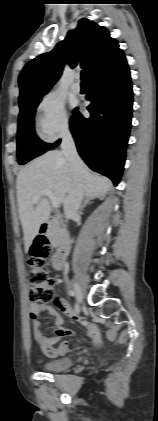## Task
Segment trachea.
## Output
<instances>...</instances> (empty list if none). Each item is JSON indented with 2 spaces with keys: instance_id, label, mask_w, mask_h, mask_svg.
Returning <instances> with one entry per match:
<instances>
[{
  "instance_id": "1",
  "label": "trachea",
  "mask_w": 158,
  "mask_h": 421,
  "mask_svg": "<svg viewBox=\"0 0 158 421\" xmlns=\"http://www.w3.org/2000/svg\"><path fill=\"white\" fill-rule=\"evenodd\" d=\"M85 78H86V73L83 71V72L81 73V80H82V83H86Z\"/></svg>"
}]
</instances>
